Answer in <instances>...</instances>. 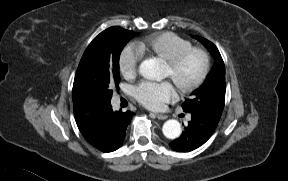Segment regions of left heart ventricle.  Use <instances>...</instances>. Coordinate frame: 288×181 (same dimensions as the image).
Wrapping results in <instances>:
<instances>
[{
	"instance_id": "b2bd125f",
	"label": "left heart ventricle",
	"mask_w": 288,
	"mask_h": 181,
	"mask_svg": "<svg viewBox=\"0 0 288 181\" xmlns=\"http://www.w3.org/2000/svg\"><path fill=\"white\" fill-rule=\"evenodd\" d=\"M201 69L202 58L198 54H191L173 70L164 64L162 77L170 79L176 87L180 88L193 82L199 76Z\"/></svg>"
}]
</instances>
